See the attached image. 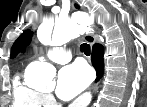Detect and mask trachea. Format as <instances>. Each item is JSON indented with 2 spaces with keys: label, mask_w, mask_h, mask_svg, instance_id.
Segmentation results:
<instances>
[{
  "label": "trachea",
  "mask_w": 147,
  "mask_h": 107,
  "mask_svg": "<svg viewBox=\"0 0 147 107\" xmlns=\"http://www.w3.org/2000/svg\"><path fill=\"white\" fill-rule=\"evenodd\" d=\"M80 48L84 52V54L86 56H89L90 55V45L89 44L84 43V44L81 45Z\"/></svg>",
  "instance_id": "1"
}]
</instances>
